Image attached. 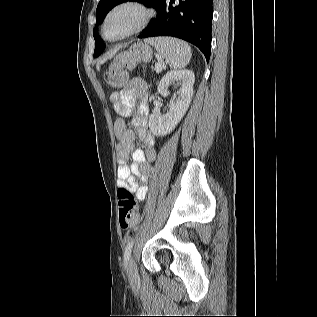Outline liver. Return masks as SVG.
I'll return each instance as SVG.
<instances>
[{
    "mask_svg": "<svg viewBox=\"0 0 317 317\" xmlns=\"http://www.w3.org/2000/svg\"><path fill=\"white\" fill-rule=\"evenodd\" d=\"M120 49V46L115 47L110 53H108L103 59L99 60L97 63V70L100 69V65L104 63L107 59L112 58L117 51Z\"/></svg>",
    "mask_w": 317,
    "mask_h": 317,
    "instance_id": "liver-1",
    "label": "liver"
}]
</instances>
